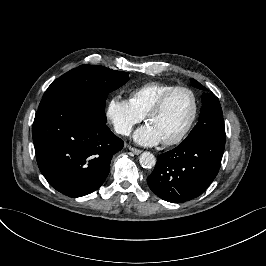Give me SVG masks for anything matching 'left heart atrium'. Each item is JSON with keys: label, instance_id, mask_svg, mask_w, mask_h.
<instances>
[{"label": "left heart atrium", "instance_id": "1", "mask_svg": "<svg viewBox=\"0 0 266 266\" xmlns=\"http://www.w3.org/2000/svg\"><path fill=\"white\" fill-rule=\"evenodd\" d=\"M134 138L143 145H155L162 141L158 131L149 122L136 130Z\"/></svg>", "mask_w": 266, "mask_h": 266}]
</instances>
